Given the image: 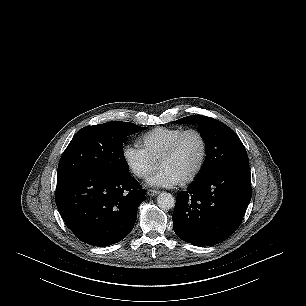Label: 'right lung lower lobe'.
<instances>
[{
	"label": "right lung lower lobe",
	"mask_w": 306,
	"mask_h": 306,
	"mask_svg": "<svg viewBox=\"0 0 306 306\" xmlns=\"http://www.w3.org/2000/svg\"><path fill=\"white\" fill-rule=\"evenodd\" d=\"M55 200L74 235L101 247L130 233L145 190L129 173L85 171L57 181Z\"/></svg>",
	"instance_id": "obj_1"
}]
</instances>
